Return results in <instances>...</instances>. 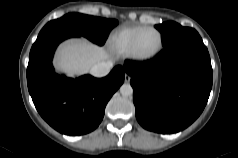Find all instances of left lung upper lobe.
I'll return each mask as SVG.
<instances>
[{
    "label": "left lung upper lobe",
    "instance_id": "left-lung-upper-lobe-1",
    "mask_svg": "<svg viewBox=\"0 0 238 158\" xmlns=\"http://www.w3.org/2000/svg\"><path fill=\"white\" fill-rule=\"evenodd\" d=\"M162 33L163 46L166 47L171 43L196 34L193 28L182 27L176 22L168 21L155 26Z\"/></svg>",
    "mask_w": 238,
    "mask_h": 158
}]
</instances>
